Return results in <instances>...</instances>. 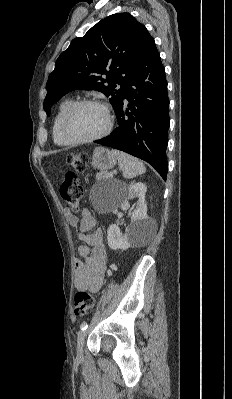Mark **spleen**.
<instances>
[{"instance_id": "3e777b00", "label": "spleen", "mask_w": 232, "mask_h": 399, "mask_svg": "<svg viewBox=\"0 0 232 399\" xmlns=\"http://www.w3.org/2000/svg\"><path fill=\"white\" fill-rule=\"evenodd\" d=\"M118 160V166L123 172L124 178H136L140 174H145L146 168L140 160L133 158V156H128L124 152H119V150H112Z\"/></svg>"}]
</instances>
